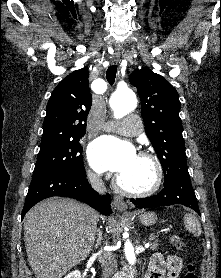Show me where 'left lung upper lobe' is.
<instances>
[{
	"mask_svg": "<svg viewBox=\"0 0 221 278\" xmlns=\"http://www.w3.org/2000/svg\"><path fill=\"white\" fill-rule=\"evenodd\" d=\"M129 81L140 96L145 130L163 167L164 182L188 171L177 91L148 68L132 72Z\"/></svg>",
	"mask_w": 221,
	"mask_h": 278,
	"instance_id": "5c2ea615",
	"label": "left lung upper lobe"
}]
</instances>
